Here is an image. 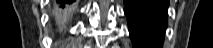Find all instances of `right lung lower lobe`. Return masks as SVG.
<instances>
[{"instance_id": "98d812e1", "label": "right lung lower lobe", "mask_w": 213, "mask_h": 48, "mask_svg": "<svg viewBox=\"0 0 213 48\" xmlns=\"http://www.w3.org/2000/svg\"><path fill=\"white\" fill-rule=\"evenodd\" d=\"M73 1L74 0H58L60 12H63L64 14H68L69 4H71ZM65 4L67 5L66 7H65Z\"/></svg>"}]
</instances>
